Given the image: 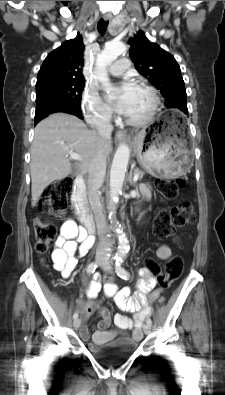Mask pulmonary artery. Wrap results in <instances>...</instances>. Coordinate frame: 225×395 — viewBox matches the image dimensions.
<instances>
[{"label": "pulmonary artery", "instance_id": "pulmonary-artery-1", "mask_svg": "<svg viewBox=\"0 0 225 395\" xmlns=\"http://www.w3.org/2000/svg\"><path fill=\"white\" fill-rule=\"evenodd\" d=\"M129 66L130 61L127 58H120L108 68V72L111 75L119 76L122 75L129 68Z\"/></svg>", "mask_w": 225, "mask_h": 395}]
</instances>
